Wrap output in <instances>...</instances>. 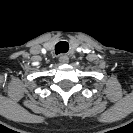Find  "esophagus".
Instances as JSON below:
<instances>
[{
    "label": "esophagus",
    "mask_w": 133,
    "mask_h": 133,
    "mask_svg": "<svg viewBox=\"0 0 133 133\" xmlns=\"http://www.w3.org/2000/svg\"><path fill=\"white\" fill-rule=\"evenodd\" d=\"M68 62H69V58H68L67 55L61 54V55L59 56V63H60V64H67Z\"/></svg>",
    "instance_id": "esophagus-1"
}]
</instances>
